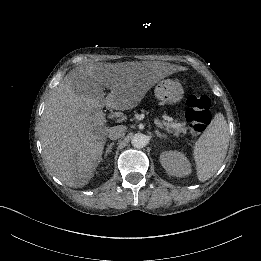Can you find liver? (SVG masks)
<instances>
[{
  "mask_svg": "<svg viewBox=\"0 0 261 261\" xmlns=\"http://www.w3.org/2000/svg\"><path fill=\"white\" fill-rule=\"evenodd\" d=\"M157 65H80L64 76L46 101L39 129L44 162L55 177L74 188L89 183L111 129L104 123V106L136 108L167 73ZM107 119L123 120L125 113L112 112Z\"/></svg>",
  "mask_w": 261,
  "mask_h": 261,
  "instance_id": "obj_1",
  "label": "liver"
}]
</instances>
